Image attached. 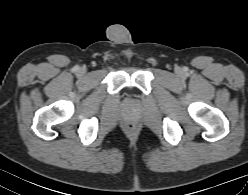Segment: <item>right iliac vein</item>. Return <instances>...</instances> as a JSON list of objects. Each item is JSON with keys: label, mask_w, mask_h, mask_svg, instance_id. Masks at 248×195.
I'll return each mask as SVG.
<instances>
[{"label": "right iliac vein", "mask_w": 248, "mask_h": 195, "mask_svg": "<svg viewBox=\"0 0 248 195\" xmlns=\"http://www.w3.org/2000/svg\"><path fill=\"white\" fill-rule=\"evenodd\" d=\"M80 73L84 74L85 73V70L84 69H81L80 70Z\"/></svg>", "instance_id": "1"}]
</instances>
